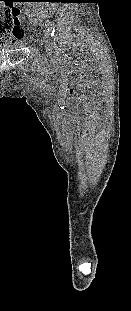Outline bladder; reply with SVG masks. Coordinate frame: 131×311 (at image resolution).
<instances>
[{
    "label": "bladder",
    "instance_id": "bladder-1",
    "mask_svg": "<svg viewBox=\"0 0 131 311\" xmlns=\"http://www.w3.org/2000/svg\"><path fill=\"white\" fill-rule=\"evenodd\" d=\"M23 43H8V44H0L1 50H15L22 46Z\"/></svg>",
    "mask_w": 131,
    "mask_h": 311
}]
</instances>
